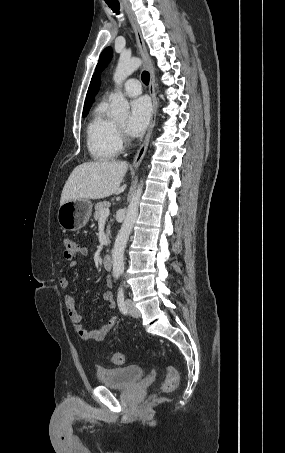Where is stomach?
Masks as SVG:
<instances>
[{
	"mask_svg": "<svg viewBox=\"0 0 285 453\" xmlns=\"http://www.w3.org/2000/svg\"><path fill=\"white\" fill-rule=\"evenodd\" d=\"M92 214V203L89 199H77L60 205L57 220L62 229L77 231L83 228Z\"/></svg>",
	"mask_w": 285,
	"mask_h": 453,
	"instance_id": "0dacf381",
	"label": "stomach"
}]
</instances>
